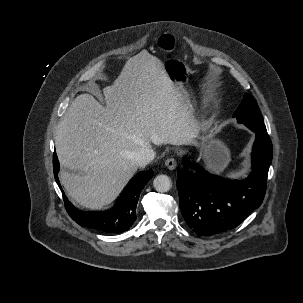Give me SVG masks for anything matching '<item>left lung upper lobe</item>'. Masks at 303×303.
Listing matches in <instances>:
<instances>
[{
    "instance_id": "1",
    "label": "left lung upper lobe",
    "mask_w": 303,
    "mask_h": 303,
    "mask_svg": "<svg viewBox=\"0 0 303 303\" xmlns=\"http://www.w3.org/2000/svg\"><path fill=\"white\" fill-rule=\"evenodd\" d=\"M234 117L237 118L239 123L252 125L261 131L267 132L259 107L255 99L249 94H245L240 106L234 113Z\"/></svg>"
}]
</instances>
